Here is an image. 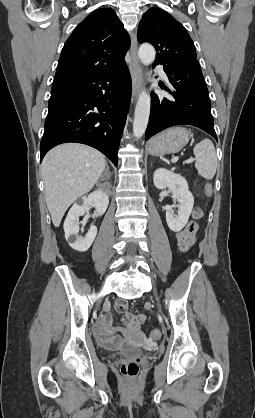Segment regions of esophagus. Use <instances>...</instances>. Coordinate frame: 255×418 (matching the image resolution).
<instances>
[{"mask_svg":"<svg viewBox=\"0 0 255 418\" xmlns=\"http://www.w3.org/2000/svg\"><path fill=\"white\" fill-rule=\"evenodd\" d=\"M130 71L132 77V101H134L140 92L143 84V71L137 56V39L133 35L131 48H130Z\"/></svg>","mask_w":255,"mask_h":418,"instance_id":"esophagus-1","label":"esophagus"}]
</instances>
